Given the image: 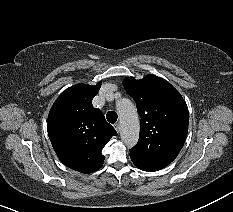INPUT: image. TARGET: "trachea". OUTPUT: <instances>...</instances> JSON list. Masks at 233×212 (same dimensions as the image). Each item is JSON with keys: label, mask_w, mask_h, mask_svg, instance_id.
Returning <instances> with one entry per match:
<instances>
[{"label": "trachea", "mask_w": 233, "mask_h": 212, "mask_svg": "<svg viewBox=\"0 0 233 212\" xmlns=\"http://www.w3.org/2000/svg\"><path fill=\"white\" fill-rule=\"evenodd\" d=\"M106 118L108 120V122L110 123H115L117 121V113L114 112V111H109L107 114H106Z\"/></svg>", "instance_id": "obj_1"}]
</instances>
